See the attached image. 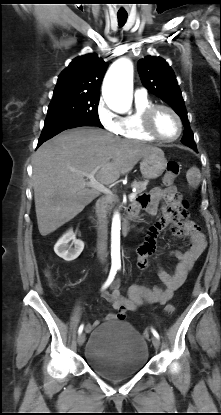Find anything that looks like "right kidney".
Wrapping results in <instances>:
<instances>
[{"label": "right kidney", "instance_id": "obj_1", "mask_svg": "<svg viewBox=\"0 0 221 415\" xmlns=\"http://www.w3.org/2000/svg\"><path fill=\"white\" fill-rule=\"evenodd\" d=\"M83 249V241L76 239L73 230L66 232L54 246L55 253L65 261L75 260Z\"/></svg>", "mask_w": 221, "mask_h": 415}]
</instances>
